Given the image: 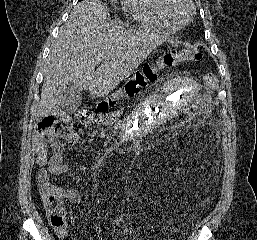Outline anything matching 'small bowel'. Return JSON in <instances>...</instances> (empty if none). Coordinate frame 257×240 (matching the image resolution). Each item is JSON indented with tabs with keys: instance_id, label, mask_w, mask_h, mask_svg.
I'll list each match as a JSON object with an SVG mask.
<instances>
[{
	"instance_id": "c3829d8e",
	"label": "small bowel",
	"mask_w": 257,
	"mask_h": 240,
	"mask_svg": "<svg viewBox=\"0 0 257 240\" xmlns=\"http://www.w3.org/2000/svg\"><path fill=\"white\" fill-rule=\"evenodd\" d=\"M99 136L105 137V130H100ZM66 140L69 144L75 145L78 143L79 135L74 126L67 122L63 125L62 130L54 132H40L35 140V151L37 154L36 163L41 166L38 171V187L41 193L50 190H60L55 185L51 184V177L69 173H83L87 170L84 165H70L63 161V145L61 140ZM49 149L52 154L49 155ZM65 199L71 204H78L81 201V194L77 188H67L60 190ZM118 227L122 228L123 235L129 240H139L133 229L123 225L122 220L116 222ZM58 236L63 237L66 234V229H55Z\"/></svg>"
}]
</instances>
